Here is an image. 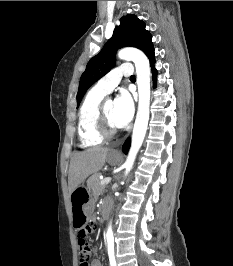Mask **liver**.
<instances>
[{
    "mask_svg": "<svg viewBox=\"0 0 233 266\" xmlns=\"http://www.w3.org/2000/svg\"><path fill=\"white\" fill-rule=\"evenodd\" d=\"M108 152V148L95 147L73 154L68 173V188L70 194H72L88 176L96 174L103 167Z\"/></svg>",
    "mask_w": 233,
    "mask_h": 266,
    "instance_id": "6515ba94",
    "label": "liver"
}]
</instances>
